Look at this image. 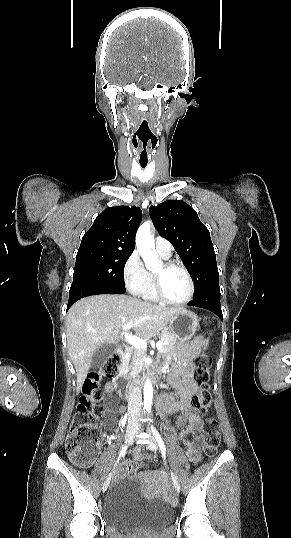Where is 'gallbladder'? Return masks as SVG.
Listing matches in <instances>:
<instances>
[{
    "instance_id": "1",
    "label": "gallbladder",
    "mask_w": 291,
    "mask_h": 538,
    "mask_svg": "<svg viewBox=\"0 0 291 538\" xmlns=\"http://www.w3.org/2000/svg\"><path fill=\"white\" fill-rule=\"evenodd\" d=\"M115 350H116L115 344L102 345L100 348H98L95 351L92 357L91 367L93 369H98L99 367H101L105 363V361L110 357V355L114 353Z\"/></svg>"
}]
</instances>
